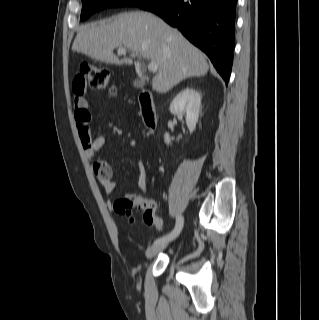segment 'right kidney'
Listing matches in <instances>:
<instances>
[{"instance_id": "ca27d5eb", "label": "right kidney", "mask_w": 319, "mask_h": 320, "mask_svg": "<svg viewBox=\"0 0 319 320\" xmlns=\"http://www.w3.org/2000/svg\"><path fill=\"white\" fill-rule=\"evenodd\" d=\"M201 106V95L192 88H186L180 91L170 104V112L174 115H183L186 117V124L190 134L195 130L199 118ZM164 141L170 144L168 133L164 135Z\"/></svg>"}]
</instances>
